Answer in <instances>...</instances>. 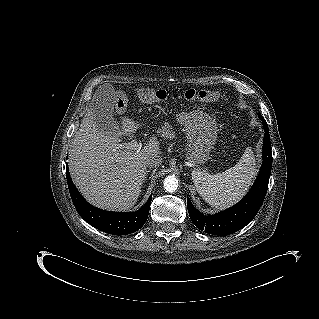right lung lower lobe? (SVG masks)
<instances>
[{
  "mask_svg": "<svg viewBox=\"0 0 319 319\" xmlns=\"http://www.w3.org/2000/svg\"><path fill=\"white\" fill-rule=\"evenodd\" d=\"M66 177L73 204L79 215L91 226L112 235H127L139 230L146 222L152 195L146 204L136 212H110L90 205L80 195L69 175L66 163Z\"/></svg>",
  "mask_w": 319,
  "mask_h": 319,
  "instance_id": "1",
  "label": "right lung lower lobe"
}]
</instances>
